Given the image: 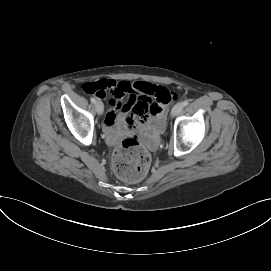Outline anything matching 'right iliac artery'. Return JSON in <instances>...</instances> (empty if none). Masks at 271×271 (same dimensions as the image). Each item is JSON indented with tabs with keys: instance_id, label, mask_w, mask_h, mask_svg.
Returning a JSON list of instances; mask_svg holds the SVG:
<instances>
[{
	"instance_id": "obj_1",
	"label": "right iliac artery",
	"mask_w": 271,
	"mask_h": 271,
	"mask_svg": "<svg viewBox=\"0 0 271 271\" xmlns=\"http://www.w3.org/2000/svg\"><path fill=\"white\" fill-rule=\"evenodd\" d=\"M90 100H91L92 103H94V104L96 103V100L93 97L90 98Z\"/></svg>"
}]
</instances>
